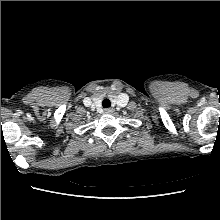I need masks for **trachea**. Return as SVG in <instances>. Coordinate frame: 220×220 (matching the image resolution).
<instances>
[{"mask_svg":"<svg viewBox=\"0 0 220 220\" xmlns=\"http://www.w3.org/2000/svg\"><path fill=\"white\" fill-rule=\"evenodd\" d=\"M102 106H103L104 108L110 107V106H111L110 100H109V99H104L103 102H102Z\"/></svg>","mask_w":220,"mask_h":220,"instance_id":"obj_1","label":"trachea"}]
</instances>
